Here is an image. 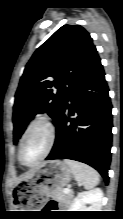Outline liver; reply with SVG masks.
<instances>
[{
	"mask_svg": "<svg viewBox=\"0 0 123 219\" xmlns=\"http://www.w3.org/2000/svg\"><path fill=\"white\" fill-rule=\"evenodd\" d=\"M35 171V169L29 171L26 175H24L20 180H25L27 178H29L30 176H32L33 172Z\"/></svg>",
	"mask_w": 123,
	"mask_h": 219,
	"instance_id": "liver-1",
	"label": "liver"
}]
</instances>
